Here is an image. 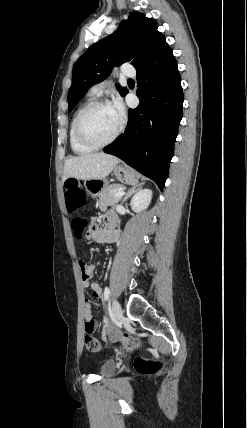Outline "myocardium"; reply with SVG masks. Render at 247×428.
<instances>
[{"instance_id": "1", "label": "myocardium", "mask_w": 247, "mask_h": 428, "mask_svg": "<svg viewBox=\"0 0 247 428\" xmlns=\"http://www.w3.org/2000/svg\"><path fill=\"white\" fill-rule=\"evenodd\" d=\"M103 106H109V103L105 100L93 101L80 113V115L76 121L75 130H76V136H77L78 140L82 144L89 146L91 148H94V149L103 148L105 146L112 144L118 138V136L120 135L122 128H123V122H120L117 129L113 133V135L103 142H96L87 136V134L85 133V130H84L85 119L87 118V116L92 111H94L95 109H97L99 107H103Z\"/></svg>"}]
</instances>
